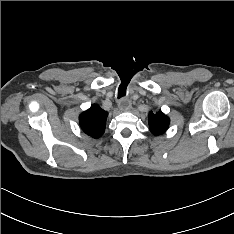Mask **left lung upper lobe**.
<instances>
[{"label": "left lung upper lobe", "instance_id": "obj_1", "mask_svg": "<svg viewBox=\"0 0 234 234\" xmlns=\"http://www.w3.org/2000/svg\"><path fill=\"white\" fill-rule=\"evenodd\" d=\"M169 124V117L161 111L149 113V128L154 135L163 134L168 129Z\"/></svg>", "mask_w": 234, "mask_h": 234}]
</instances>
